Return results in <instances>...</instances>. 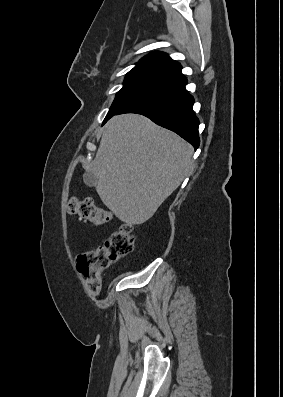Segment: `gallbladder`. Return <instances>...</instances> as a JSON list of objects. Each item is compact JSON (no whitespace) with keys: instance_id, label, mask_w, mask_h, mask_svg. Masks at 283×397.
Listing matches in <instances>:
<instances>
[{"instance_id":"gallbladder-1","label":"gallbladder","mask_w":283,"mask_h":397,"mask_svg":"<svg viewBox=\"0 0 283 397\" xmlns=\"http://www.w3.org/2000/svg\"><path fill=\"white\" fill-rule=\"evenodd\" d=\"M83 181H84V183H85L87 186L93 187V186H95V183H96V181H97V177H96L93 173H91V172H86V173L83 175Z\"/></svg>"}]
</instances>
